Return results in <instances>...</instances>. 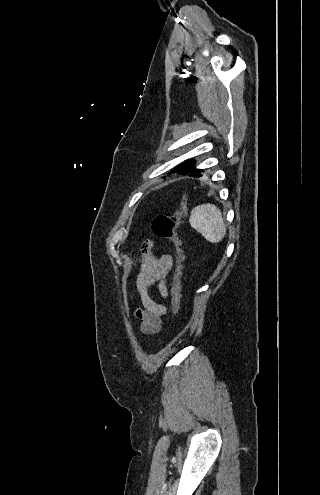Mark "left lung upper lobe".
<instances>
[{
    "label": "left lung upper lobe",
    "instance_id": "left-lung-upper-lobe-1",
    "mask_svg": "<svg viewBox=\"0 0 320 495\" xmlns=\"http://www.w3.org/2000/svg\"><path fill=\"white\" fill-rule=\"evenodd\" d=\"M194 165H195V162L193 160H186L185 162L179 164L178 166H176L173 170H171V173H179V174H184L186 172H188L189 170H191L192 168H194Z\"/></svg>",
    "mask_w": 320,
    "mask_h": 495
}]
</instances>
